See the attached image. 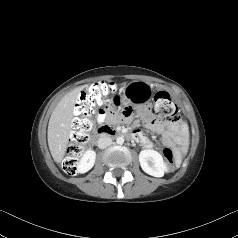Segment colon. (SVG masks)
I'll return each instance as SVG.
<instances>
[{
  "mask_svg": "<svg viewBox=\"0 0 238 238\" xmlns=\"http://www.w3.org/2000/svg\"><path fill=\"white\" fill-rule=\"evenodd\" d=\"M114 91V86L108 82H98L84 90L77 99L73 120V130L70 134L69 144L62 161V167L68 174H75L77 162L91 139L94 129L92 118L101 106L106 96ZM153 115L159 118L174 121L178 117V107L166 92H158L154 97ZM132 108L127 107L124 115L129 116ZM165 161L170 169L175 168L176 159L171 148L163 150Z\"/></svg>",
  "mask_w": 238,
  "mask_h": 238,
  "instance_id": "5ec220e1",
  "label": "colon"
}]
</instances>
